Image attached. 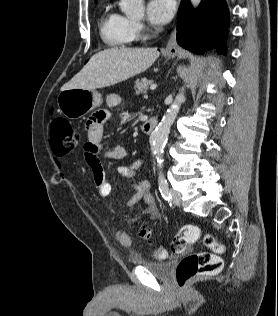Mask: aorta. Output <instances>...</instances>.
<instances>
[{
	"mask_svg": "<svg viewBox=\"0 0 278 316\" xmlns=\"http://www.w3.org/2000/svg\"><path fill=\"white\" fill-rule=\"evenodd\" d=\"M200 2L201 0H191V4L194 8L198 7ZM120 9L128 17L140 18L144 14L143 0H121ZM184 99V92H180L176 96L171 106L167 109L161 122L151 133L150 144L156 157L157 167L160 169L163 166V153L168 141L171 126L177 117V114Z\"/></svg>",
	"mask_w": 278,
	"mask_h": 316,
	"instance_id": "1",
	"label": "aorta"
}]
</instances>
